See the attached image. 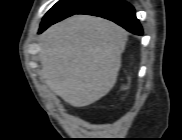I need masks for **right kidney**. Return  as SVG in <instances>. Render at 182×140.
<instances>
[{
	"label": "right kidney",
	"mask_w": 182,
	"mask_h": 140,
	"mask_svg": "<svg viewBox=\"0 0 182 140\" xmlns=\"http://www.w3.org/2000/svg\"><path fill=\"white\" fill-rule=\"evenodd\" d=\"M127 88H128V86H125V87H124V89H127Z\"/></svg>",
	"instance_id": "1"
}]
</instances>
